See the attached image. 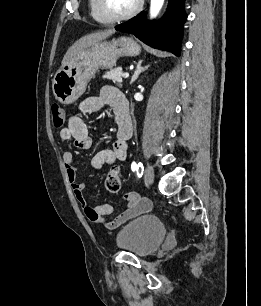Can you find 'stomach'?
Listing matches in <instances>:
<instances>
[{"label": "stomach", "instance_id": "0dacf381", "mask_svg": "<svg viewBox=\"0 0 261 306\" xmlns=\"http://www.w3.org/2000/svg\"><path fill=\"white\" fill-rule=\"evenodd\" d=\"M140 52L141 47L125 36L93 44L57 71L52 83L55 98L63 104L73 103L100 68L111 69L120 57H134Z\"/></svg>", "mask_w": 261, "mask_h": 306}]
</instances>
